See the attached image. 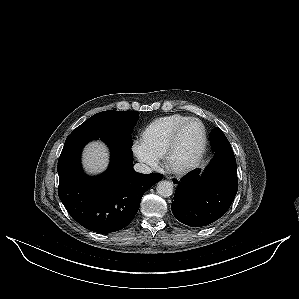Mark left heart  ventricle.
<instances>
[{
  "instance_id": "1",
  "label": "left heart ventricle",
  "mask_w": 299,
  "mask_h": 299,
  "mask_svg": "<svg viewBox=\"0 0 299 299\" xmlns=\"http://www.w3.org/2000/svg\"><path fill=\"white\" fill-rule=\"evenodd\" d=\"M201 142V126L197 122L189 123L178 136L176 146L170 156V163L179 167L191 161L197 155Z\"/></svg>"
}]
</instances>
